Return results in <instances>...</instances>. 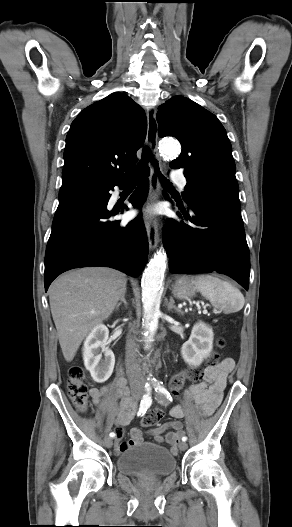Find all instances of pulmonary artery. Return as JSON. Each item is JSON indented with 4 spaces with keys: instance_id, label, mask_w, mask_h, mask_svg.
Instances as JSON below:
<instances>
[{
    "instance_id": "pulmonary-artery-1",
    "label": "pulmonary artery",
    "mask_w": 292,
    "mask_h": 527,
    "mask_svg": "<svg viewBox=\"0 0 292 527\" xmlns=\"http://www.w3.org/2000/svg\"><path fill=\"white\" fill-rule=\"evenodd\" d=\"M171 178L176 181L182 189L185 188L187 180L185 176L180 171H172Z\"/></svg>"
}]
</instances>
